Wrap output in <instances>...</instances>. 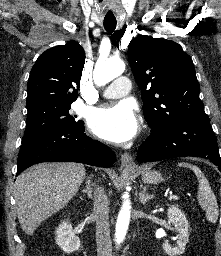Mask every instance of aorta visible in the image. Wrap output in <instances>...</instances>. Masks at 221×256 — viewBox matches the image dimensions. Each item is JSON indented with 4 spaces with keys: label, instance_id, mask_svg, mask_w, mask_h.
Segmentation results:
<instances>
[{
    "label": "aorta",
    "instance_id": "762f6f07",
    "mask_svg": "<svg viewBox=\"0 0 221 256\" xmlns=\"http://www.w3.org/2000/svg\"><path fill=\"white\" fill-rule=\"evenodd\" d=\"M125 70V63L120 59H108L104 61H98L94 73L93 79L97 86H103L120 76ZM130 210L131 203L129 199V195L123 196L122 207L119 211L117 223H116V231L115 238L116 242L121 243L127 233L129 222H130Z\"/></svg>",
    "mask_w": 221,
    "mask_h": 256
}]
</instances>
